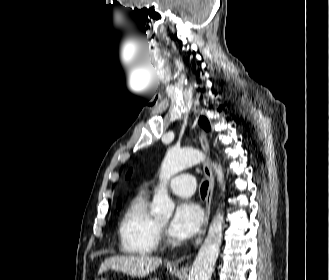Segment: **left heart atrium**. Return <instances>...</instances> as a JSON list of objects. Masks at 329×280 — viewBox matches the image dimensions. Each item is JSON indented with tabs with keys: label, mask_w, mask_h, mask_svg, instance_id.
<instances>
[{
	"label": "left heart atrium",
	"mask_w": 329,
	"mask_h": 280,
	"mask_svg": "<svg viewBox=\"0 0 329 280\" xmlns=\"http://www.w3.org/2000/svg\"><path fill=\"white\" fill-rule=\"evenodd\" d=\"M203 213L200 207L192 202H181L175 209L169 225V233L177 239L193 236L200 228Z\"/></svg>",
	"instance_id": "39dd6f15"
}]
</instances>
